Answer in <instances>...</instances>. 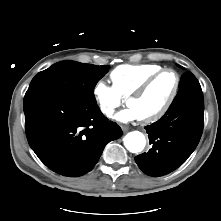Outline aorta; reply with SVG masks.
I'll use <instances>...</instances> for the list:
<instances>
[{"label":"aorta","mask_w":221,"mask_h":221,"mask_svg":"<svg viewBox=\"0 0 221 221\" xmlns=\"http://www.w3.org/2000/svg\"><path fill=\"white\" fill-rule=\"evenodd\" d=\"M146 144L145 136L139 131L129 132L124 138L126 149L132 153L141 152Z\"/></svg>","instance_id":"obj_1"}]
</instances>
